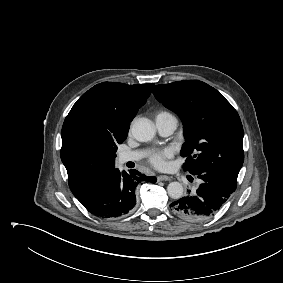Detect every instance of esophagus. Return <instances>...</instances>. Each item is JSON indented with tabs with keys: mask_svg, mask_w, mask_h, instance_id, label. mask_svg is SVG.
<instances>
[{
	"mask_svg": "<svg viewBox=\"0 0 283 283\" xmlns=\"http://www.w3.org/2000/svg\"><path fill=\"white\" fill-rule=\"evenodd\" d=\"M158 181H169L171 180V177L167 176V175H160L157 177Z\"/></svg>",
	"mask_w": 283,
	"mask_h": 283,
	"instance_id": "obj_1",
	"label": "esophagus"
}]
</instances>
